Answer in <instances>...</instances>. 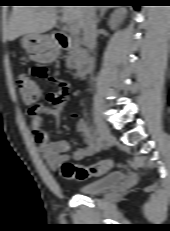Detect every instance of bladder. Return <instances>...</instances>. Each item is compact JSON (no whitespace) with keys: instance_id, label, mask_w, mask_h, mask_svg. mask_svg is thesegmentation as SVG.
<instances>
[{"instance_id":"31cf9c89","label":"bladder","mask_w":170,"mask_h":231,"mask_svg":"<svg viewBox=\"0 0 170 231\" xmlns=\"http://www.w3.org/2000/svg\"><path fill=\"white\" fill-rule=\"evenodd\" d=\"M125 174L121 171L109 173L99 179L83 184L79 192L85 195H97L111 190L125 181Z\"/></svg>"}]
</instances>
